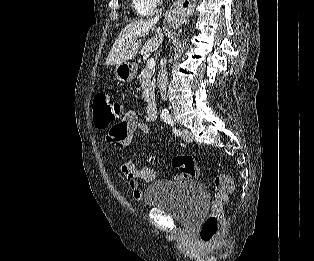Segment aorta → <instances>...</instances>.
Wrapping results in <instances>:
<instances>
[{
    "instance_id": "762f6f07",
    "label": "aorta",
    "mask_w": 314,
    "mask_h": 261,
    "mask_svg": "<svg viewBox=\"0 0 314 261\" xmlns=\"http://www.w3.org/2000/svg\"><path fill=\"white\" fill-rule=\"evenodd\" d=\"M161 116L162 117H168L169 116L168 110H166V109L162 110Z\"/></svg>"
}]
</instances>
